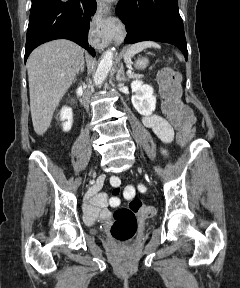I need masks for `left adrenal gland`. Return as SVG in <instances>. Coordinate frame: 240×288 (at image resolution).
<instances>
[{"instance_id": "left-adrenal-gland-1", "label": "left adrenal gland", "mask_w": 240, "mask_h": 288, "mask_svg": "<svg viewBox=\"0 0 240 288\" xmlns=\"http://www.w3.org/2000/svg\"><path fill=\"white\" fill-rule=\"evenodd\" d=\"M116 80H117L118 82L126 81V80H127V78L125 77V74H124L123 63H121L120 69H119L118 72H117Z\"/></svg>"}]
</instances>
